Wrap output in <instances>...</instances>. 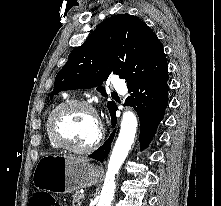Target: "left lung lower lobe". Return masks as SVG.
Segmentation results:
<instances>
[{
	"instance_id": "0a47b994",
	"label": "left lung lower lobe",
	"mask_w": 221,
	"mask_h": 206,
	"mask_svg": "<svg viewBox=\"0 0 221 206\" xmlns=\"http://www.w3.org/2000/svg\"><path fill=\"white\" fill-rule=\"evenodd\" d=\"M168 68L159 74L144 79L143 81L128 87L130 96L126 99L127 104L134 107L140 120V145L141 149L146 148L156 129L164 117V111L168 103ZM117 107L111 114L112 127L116 125L117 119L115 112ZM115 130L109 139L89 157L104 161L113 141Z\"/></svg>"
}]
</instances>
